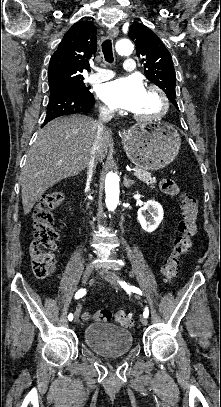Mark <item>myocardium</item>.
<instances>
[{
	"mask_svg": "<svg viewBox=\"0 0 221 407\" xmlns=\"http://www.w3.org/2000/svg\"><path fill=\"white\" fill-rule=\"evenodd\" d=\"M146 91L153 92L157 95L160 102V109L153 115H139L133 113V117L138 121L150 122L161 119L168 111L169 99L165 91L158 85L151 84L146 87Z\"/></svg>",
	"mask_w": 221,
	"mask_h": 407,
	"instance_id": "obj_1",
	"label": "myocardium"
}]
</instances>
